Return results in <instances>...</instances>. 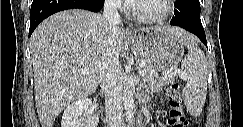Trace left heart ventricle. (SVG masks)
<instances>
[{"mask_svg":"<svg viewBox=\"0 0 243 127\" xmlns=\"http://www.w3.org/2000/svg\"><path fill=\"white\" fill-rule=\"evenodd\" d=\"M137 11L144 16L161 14L165 9L163 0H141L136 3Z\"/></svg>","mask_w":243,"mask_h":127,"instance_id":"obj_1","label":"left heart ventricle"}]
</instances>
